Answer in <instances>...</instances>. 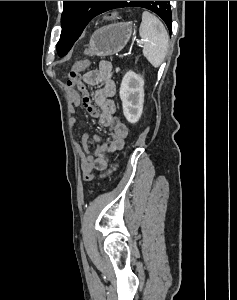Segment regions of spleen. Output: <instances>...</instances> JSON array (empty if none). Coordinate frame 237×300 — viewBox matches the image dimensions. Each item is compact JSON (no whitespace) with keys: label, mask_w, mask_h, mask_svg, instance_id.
<instances>
[{"label":"spleen","mask_w":237,"mask_h":300,"mask_svg":"<svg viewBox=\"0 0 237 300\" xmlns=\"http://www.w3.org/2000/svg\"><path fill=\"white\" fill-rule=\"evenodd\" d=\"M139 35L144 41V57L151 63L152 67H160L166 57L169 45L168 33L163 23L152 13L144 11Z\"/></svg>","instance_id":"obj_1"}]
</instances>
